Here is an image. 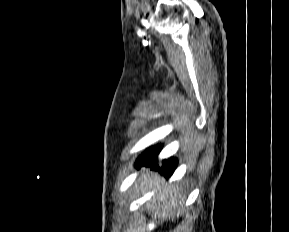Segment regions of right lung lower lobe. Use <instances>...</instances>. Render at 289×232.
I'll list each match as a JSON object with an SVG mask.
<instances>
[{
	"label": "right lung lower lobe",
	"instance_id": "1",
	"mask_svg": "<svg viewBox=\"0 0 289 232\" xmlns=\"http://www.w3.org/2000/svg\"><path fill=\"white\" fill-rule=\"evenodd\" d=\"M162 146L157 145L146 150L136 161V167L149 166L152 169L158 170L162 175L170 177L177 166V159L170 158L163 161V166L160 168L157 164V155L159 154ZM155 165V166H153Z\"/></svg>",
	"mask_w": 289,
	"mask_h": 232
}]
</instances>
